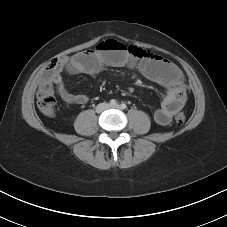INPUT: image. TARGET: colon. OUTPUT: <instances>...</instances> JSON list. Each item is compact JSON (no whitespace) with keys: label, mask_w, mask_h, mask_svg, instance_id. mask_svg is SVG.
Listing matches in <instances>:
<instances>
[{"label":"colon","mask_w":227,"mask_h":227,"mask_svg":"<svg viewBox=\"0 0 227 227\" xmlns=\"http://www.w3.org/2000/svg\"><path fill=\"white\" fill-rule=\"evenodd\" d=\"M129 51L140 58L147 56L148 52L133 46H128ZM61 62V58L52 60L48 71H52ZM37 106L38 109L46 116H52L55 113L56 99L54 96V90L51 81L49 79L43 81L37 92ZM187 119V114L184 111H180L175 115V122L178 125H183Z\"/></svg>","instance_id":"colon-1"}]
</instances>
